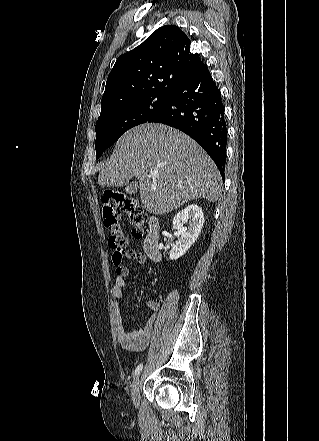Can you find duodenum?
<instances>
[{
	"label": "duodenum",
	"mask_w": 319,
	"mask_h": 441,
	"mask_svg": "<svg viewBox=\"0 0 319 441\" xmlns=\"http://www.w3.org/2000/svg\"><path fill=\"white\" fill-rule=\"evenodd\" d=\"M144 249L152 260L159 261L161 259L159 250V224L154 217L149 219V230L144 241Z\"/></svg>",
	"instance_id": "obj_1"
}]
</instances>
